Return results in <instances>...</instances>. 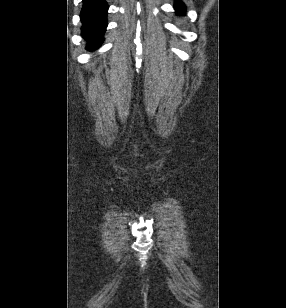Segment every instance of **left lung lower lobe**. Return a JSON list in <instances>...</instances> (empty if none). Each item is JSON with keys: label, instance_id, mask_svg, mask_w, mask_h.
Returning a JSON list of instances; mask_svg holds the SVG:
<instances>
[{"label": "left lung lower lobe", "instance_id": "left-lung-lower-lobe-1", "mask_svg": "<svg viewBox=\"0 0 286 308\" xmlns=\"http://www.w3.org/2000/svg\"><path fill=\"white\" fill-rule=\"evenodd\" d=\"M175 10L177 11V14L183 15L184 12H185V6H184V4H183L182 2H180V1H177V2L175 3Z\"/></svg>", "mask_w": 286, "mask_h": 308}]
</instances>
